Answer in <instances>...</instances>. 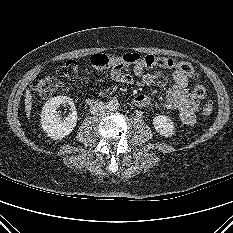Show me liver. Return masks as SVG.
Instances as JSON below:
<instances>
[{"mask_svg":"<svg viewBox=\"0 0 233 233\" xmlns=\"http://www.w3.org/2000/svg\"><path fill=\"white\" fill-rule=\"evenodd\" d=\"M25 110H26V115L29 118L32 110V95L29 89L26 90V95H25Z\"/></svg>","mask_w":233,"mask_h":233,"instance_id":"obj_1","label":"liver"}]
</instances>
